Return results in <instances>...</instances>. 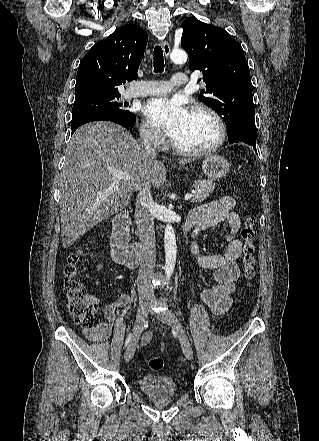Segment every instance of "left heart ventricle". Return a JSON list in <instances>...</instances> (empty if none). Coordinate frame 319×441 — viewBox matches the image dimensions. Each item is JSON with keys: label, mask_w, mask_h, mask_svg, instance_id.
I'll use <instances>...</instances> for the list:
<instances>
[{"label": "left heart ventricle", "mask_w": 319, "mask_h": 441, "mask_svg": "<svg viewBox=\"0 0 319 441\" xmlns=\"http://www.w3.org/2000/svg\"><path fill=\"white\" fill-rule=\"evenodd\" d=\"M217 134V126L207 114L189 112L186 122L173 139L183 148L201 149L214 143Z\"/></svg>", "instance_id": "obj_1"}]
</instances>
